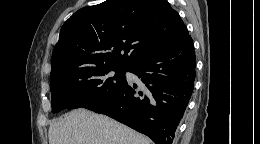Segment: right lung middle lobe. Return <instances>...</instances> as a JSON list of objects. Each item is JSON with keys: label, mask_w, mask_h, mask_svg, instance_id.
<instances>
[{"label": "right lung middle lobe", "mask_w": 260, "mask_h": 144, "mask_svg": "<svg viewBox=\"0 0 260 144\" xmlns=\"http://www.w3.org/2000/svg\"><path fill=\"white\" fill-rule=\"evenodd\" d=\"M126 71L127 67L101 65L52 76L50 90L53 112L84 107L110 96L125 83Z\"/></svg>", "instance_id": "dd1d6c3e"}]
</instances>
